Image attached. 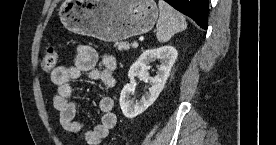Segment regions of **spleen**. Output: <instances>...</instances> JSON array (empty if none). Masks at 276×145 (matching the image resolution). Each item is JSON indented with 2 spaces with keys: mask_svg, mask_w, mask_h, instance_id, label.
I'll return each instance as SVG.
<instances>
[{
  "mask_svg": "<svg viewBox=\"0 0 276 145\" xmlns=\"http://www.w3.org/2000/svg\"><path fill=\"white\" fill-rule=\"evenodd\" d=\"M159 19L157 22L156 37L159 42H167L170 38L187 28L184 16L176 11L171 5L164 0H159Z\"/></svg>",
  "mask_w": 276,
  "mask_h": 145,
  "instance_id": "3e777b00",
  "label": "spleen"
}]
</instances>
